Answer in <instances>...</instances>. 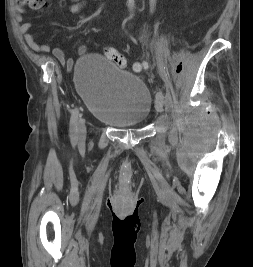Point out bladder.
Masks as SVG:
<instances>
[{"label": "bladder", "instance_id": "bladder-1", "mask_svg": "<svg viewBox=\"0 0 253 267\" xmlns=\"http://www.w3.org/2000/svg\"><path fill=\"white\" fill-rule=\"evenodd\" d=\"M76 87L91 115L114 127L144 124L152 110V96L137 76L121 70L110 59L94 53L75 65Z\"/></svg>", "mask_w": 253, "mask_h": 267}]
</instances>
